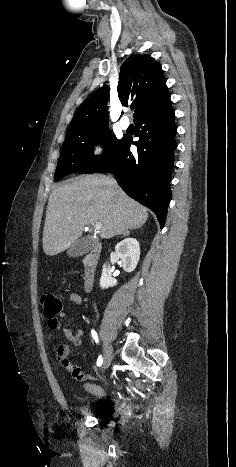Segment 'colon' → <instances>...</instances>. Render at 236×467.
Instances as JSON below:
<instances>
[{
	"label": "colon",
	"instance_id": "colon-1",
	"mask_svg": "<svg viewBox=\"0 0 236 467\" xmlns=\"http://www.w3.org/2000/svg\"><path fill=\"white\" fill-rule=\"evenodd\" d=\"M40 302L46 317H54L62 310L61 300L53 294H42L40 297Z\"/></svg>",
	"mask_w": 236,
	"mask_h": 467
}]
</instances>
